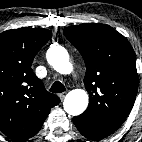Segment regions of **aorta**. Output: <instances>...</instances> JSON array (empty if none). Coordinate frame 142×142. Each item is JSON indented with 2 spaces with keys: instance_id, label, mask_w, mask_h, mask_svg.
I'll use <instances>...</instances> for the list:
<instances>
[{
  "instance_id": "aorta-1",
  "label": "aorta",
  "mask_w": 142,
  "mask_h": 142,
  "mask_svg": "<svg viewBox=\"0 0 142 142\" xmlns=\"http://www.w3.org/2000/svg\"><path fill=\"white\" fill-rule=\"evenodd\" d=\"M46 58L48 63L60 74H69L73 70V66L69 61V54L62 46H50ZM88 102L89 97L87 92L75 89L66 95L63 106L68 114L78 116L86 110Z\"/></svg>"
}]
</instances>
